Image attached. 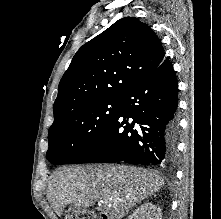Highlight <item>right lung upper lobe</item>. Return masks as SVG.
I'll return each mask as SVG.
<instances>
[{
    "label": "right lung upper lobe",
    "instance_id": "cb5924a9",
    "mask_svg": "<svg viewBox=\"0 0 221 219\" xmlns=\"http://www.w3.org/2000/svg\"><path fill=\"white\" fill-rule=\"evenodd\" d=\"M165 59L155 32L137 18L125 17L84 44L58 87L54 120L72 109L122 96Z\"/></svg>",
    "mask_w": 221,
    "mask_h": 219
}]
</instances>
